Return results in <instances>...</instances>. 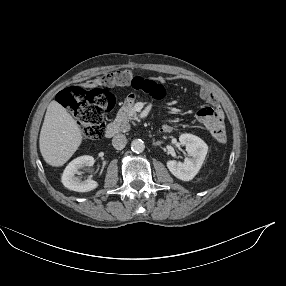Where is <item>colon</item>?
<instances>
[{
	"mask_svg": "<svg viewBox=\"0 0 286 286\" xmlns=\"http://www.w3.org/2000/svg\"><path fill=\"white\" fill-rule=\"evenodd\" d=\"M112 77L113 73H107L104 79ZM133 87L147 92L152 97H159L162 93L161 85L148 81L135 79ZM58 102L73 113L86 141L97 140L103 135L105 117L115 106V99L109 92L102 89L87 91L76 86L61 91ZM206 134L214 142L224 143L227 139V129L219 121L210 123Z\"/></svg>",
	"mask_w": 286,
	"mask_h": 286,
	"instance_id": "1",
	"label": "colon"
}]
</instances>
